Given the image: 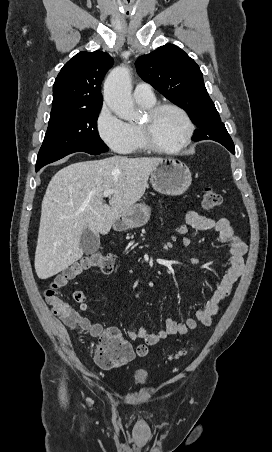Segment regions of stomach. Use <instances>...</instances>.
I'll use <instances>...</instances> for the list:
<instances>
[{
	"instance_id": "stomach-1",
	"label": "stomach",
	"mask_w": 272,
	"mask_h": 452,
	"mask_svg": "<svg viewBox=\"0 0 272 452\" xmlns=\"http://www.w3.org/2000/svg\"><path fill=\"white\" fill-rule=\"evenodd\" d=\"M150 182L155 191L163 195L178 196L191 185L192 174L186 164L175 158H160L153 166ZM151 215V208L135 204L123 213L118 222L120 229L141 227Z\"/></svg>"
}]
</instances>
